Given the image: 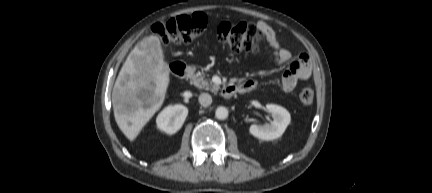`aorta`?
Segmentation results:
<instances>
[{
  "instance_id": "aorta-1",
  "label": "aorta",
  "mask_w": 432,
  "mask_h": 193,
  "mask_svg": "<svg viewBox=\"0 0 432 193\" xmlns=\"http://www.w3.org/2000/svg\"><path fill=\"white\" fill-rule=\"evenodd\" d=\"M215 116L217 119L225 120L228 117V109L223 106H219L215 111Z\"/></svg>"
}]
</instances>
